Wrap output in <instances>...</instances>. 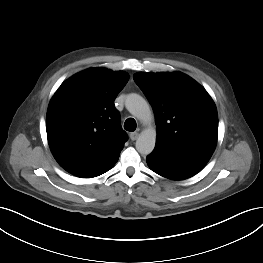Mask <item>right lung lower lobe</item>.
<instances>
[{
	"mask_svg": "<svg viewBox=\"0 0 263 263\" xmlns=\"http://www.w3.org/2000/svg\"><path fill=\"white\" fill-rule=\"evenodd\" d=\"M113 165H114V164H113ZM113 165L110 166V167H109L108 169H106L105 171H103V172H101V173H99V174H96V175H94V176H91V177H96V176H99V175L105 173L106 171H108L109 169H111V168L113 167ZM88 178H90V177H88Z\"/></svg>",
	"mask_w": 263,
	"mask_h": 263,
	"instance_id": "1",
	"label": "right lung lower lobe"
}]
</instances>
